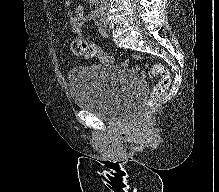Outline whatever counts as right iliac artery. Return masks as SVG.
<instances>
[{
	"label": "right iliac artery",
	"mask_w": 219,
	"mask_h": 192,
	"mask_svg": "<svg viewBox=\"0 0 219 192\" xmlns=\"http://www.w3.org/2000/svg\"><path fill=\"white\" fill-rule=\"evenodd\" d=\"M95 13H96V16L99 18V17H101L102 16V14H103V7L100 5V6H98L97 8H96V10H95Z\"/></svg>",
	"instance_id": "right-iliac-artery-1"
}]
</instances>
